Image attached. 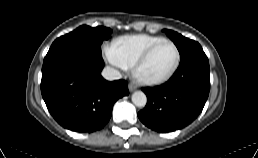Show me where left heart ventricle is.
<instances>
[{
  "label": "left heart ventricle",
  "mask_w": 258,
  "mask_h": 158,
  "mask_svg": "<svg viewBox=\"0 0 258 158\" xmlns=\"http://www.w3.org/2000/svg\"><path fill=\"white\" fill-rule=\"evenodd\" d=\"M176 61V51L173 45H160L148 58L141 69L142 75L149 78H158L167 73Z\"/></svg>",
  "instance_id": "1"
}]
</instances>
